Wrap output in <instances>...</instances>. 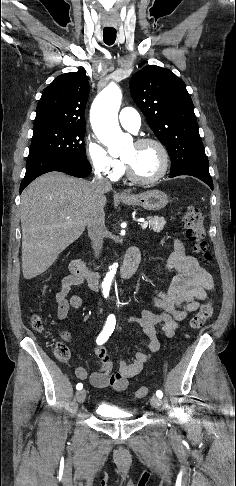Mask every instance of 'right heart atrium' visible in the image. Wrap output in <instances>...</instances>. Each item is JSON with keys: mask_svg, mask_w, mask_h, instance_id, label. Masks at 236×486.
I'll return each mask as SVG.
<instances>
[{"mask_svg": "<svg viewBox=\"0 0 236 486\" xmlns=\"http://www.w3.org/2000/svg\"><path fill=\"white\" fill-rule=\"evenodd\" d=\"M86 155L95 173L111 181L119 179L124 172L123 163L111 156L105 146L94 137L86 142Z\"/></svg>", "mask_w": 236, "mask_h": 486, "instance_id": "obj_1", "label": "right heart atrium"}]
</instances>
